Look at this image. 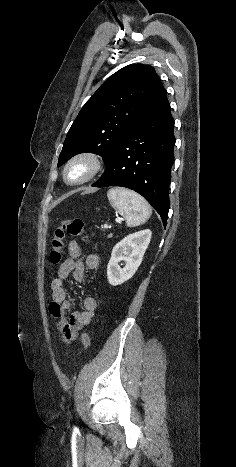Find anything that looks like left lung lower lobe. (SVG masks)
<instances>
[{"label":"left lung lower lobe","instance_id":"left-lung-lower-lobe-1","mask_svg":"<svg viewBox=\"0 0 236 467\" xmlns=\"http://www.w3.org/2000/svg\"><path fill=\"white\" fill-rule=\"evenodd\" d=\"M174 144V119L165 96L124 135L102 177L92 186H122L136 191L166 226Z\"/></svg>","mask_w":236,"mask_h":467}]
</instances>
